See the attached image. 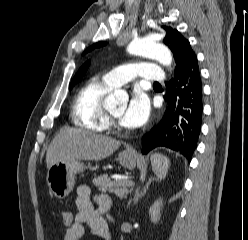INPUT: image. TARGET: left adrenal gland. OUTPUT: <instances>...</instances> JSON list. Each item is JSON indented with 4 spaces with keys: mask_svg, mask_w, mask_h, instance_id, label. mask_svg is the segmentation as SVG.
Here are the masks:
<instances>
[{
    "mask_svg": "<svg viewBox=\"0 0 248 240\" xmlns=\"http://www.w3.org/2000/svg\"><path fill=\"white\" fill-rule=\"evenodd\" d=\"M151 184V179L146 183L145 187L143 188L142 191H140V187H138L135 190V195H134V204L138 203V200L143 197L146 194V191Z\"/></svg>",
    "mask_w": 248,
    "mask_h": 240,
    "instance_id": "left-adrenal-gland-1",
    "label": "left adrenal gland"
}]
</instances>
